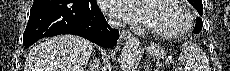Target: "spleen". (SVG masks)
I'll use <instances>...</instances> for the list:
<instances>
[{"instance_id":"obj_1","label":"spleen","mask_w":230,"mask_h":71,"mask_svg":"<svg viewBox=\"0 0 230 71\" xmlns=\"http://www.w3.org/2000/svg\"><path fill=\"white\" fill-rule=\"evenodd\" d=\"M182 47V52L179 55L178 61L183 68H178L179 71L209 70L206 56L197 44L187 41Z\"/></svg>"}]
</instances>
